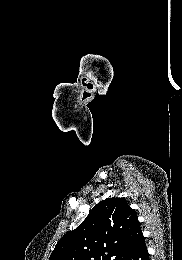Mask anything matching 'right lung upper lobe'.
<instances>
[{
    "label": "right lung upper lobe",
    "mask_w": 182,
    "mask_h": 260,
    "mask_svg": "<svg viewBox=\"0 0 182 260\" xmlns=\"http://www.w3.org/2000/svg\"><path fill=\"white\" fill-rule=\"evenodd\" d=\"M143 241L134 210L122 198H107L57 242L49 260H121Z\"/></svg>",
    "instance_id": "obj_1"
}]
</instances>
